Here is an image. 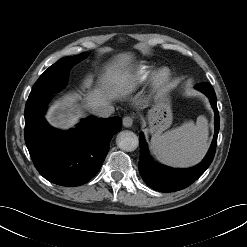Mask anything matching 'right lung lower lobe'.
Instances as JSON below:
<instances>
[{"instance_id":"obj_1","label":"right lung lower lobe","mask_w":247,"mask_h":247,"mask_svg":"<svg viewBox=\"0 0 247 247\" xmlns=\"http://www.w3.org/2000/svg\"><path fill=\"white\" fill-rule=\"evenodd\" d=\"M52 96L28 98L25 142L45 179L62 186H80L101 168L112 137L122 129V119L89 117L75 129L62 132L49 126L43 116Z\"/></svg>"}]
</instances>
